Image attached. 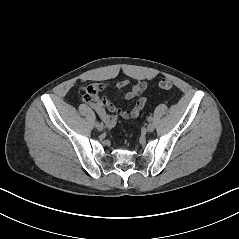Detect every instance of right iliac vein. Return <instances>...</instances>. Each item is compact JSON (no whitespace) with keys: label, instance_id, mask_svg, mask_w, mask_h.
Here are the masks:
<instances>
[{"label":"right iliac vein","instance_id":"obj_1","mask_svg":"<svg viewBox=\"0 0 239 239\" xmlns=\"http://www.w3.org/2000/svg\"><path fill=\"white\" fill-rule=\"evenodd\" d=\"M96 127L99 131H102L104 129L103 124H98Z\"/></svg>","mask_w":239,"mask_h":239}]
</instances>
